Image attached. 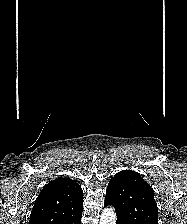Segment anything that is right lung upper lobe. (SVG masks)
<instances>
[{
	"label": "right lung upper lobe",
	"mask_w": 187,
	"mask_h": 224,
	"mask_svg": "<svg viewBox=\"0 0 187 224\" xmlns=\"http://www.w3.org/2000/svg\"><path fill=\"white\" fill-rule=\"evenodd\" d=\"M83 191L70 178L49 182L35 201L29 224H69L82 214Z\"/></svg>",
	"instance_id": "obj_1"
}]
</instances>
